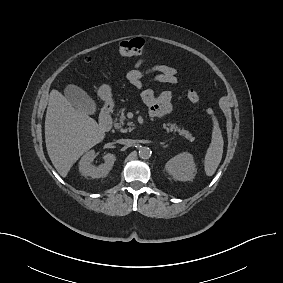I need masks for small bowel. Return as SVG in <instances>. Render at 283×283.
I'll list each match as a JSON object with an SVG mask.
<instances>
[{
    "label": "small bowel",
    "mask_w": 283,
    "mask_h": 283,
    "mask_svg": "<svg viewBox=\"0 0 283 283\" xmlns=\"http://www.w3.org/2000/svg\"><path fill=\"white\" fill-rule=\"evenodd\" d=\"M147 59H138L127 73V79L136 88L144 86L145 77L150 81L159 83L176 84L178 82L177 70L167 65H153L143 69ZM143 102L150 109V116L153 118L163 117L172 110V94L169 91L156 93L152 89H145L141 93Z\"/></svg>",
    "instance_id": "c3829d8e"
}]
</instances>
